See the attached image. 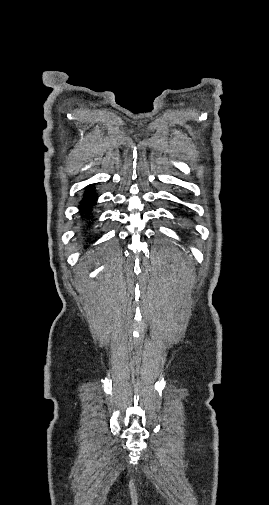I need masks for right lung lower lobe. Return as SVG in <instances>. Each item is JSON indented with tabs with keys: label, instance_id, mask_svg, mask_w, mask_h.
<instances>
[{
	"label": "right lung lower lobe",
	"instance_id": "98d812e1",
	"mask_svg": "<svg viewBox=\"0 0 269 505\" xmlns=\"http://www.w3.org/2000/svg\"><path fill=\"white\" fill-rule=\"evenodd\" d=\"M93 186L94 184H91L85 188L86 191L83 193L82 200L79 203V220L83 236L88 234L96 220L93 207L96 204L97 194Z\"/></svg>",
	"mask_w": 269,
	"mask_h": 505
}]
</instances>
